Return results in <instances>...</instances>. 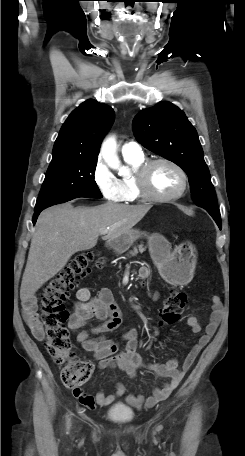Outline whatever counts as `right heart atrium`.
I'll list each match as a JSON object with an SVG mask.
<instances>
[{
  "label": "right heart atrium",
  "mask_w": 245,
  "mask_h": 456,
  "mask_svg": "<svg viewBox=\"0 0 245 456\" xmlns=\"http://www.w3.org/2000/svg\"><path fill=\"white\" fill-rule=\"evenodd\" d=\"M92 179L104 199L111 202L122 200V188L119 179L100 158L94 165Z\"/></svg>",
  "instance_id": "d8ad5b80"
}]
</instances>
